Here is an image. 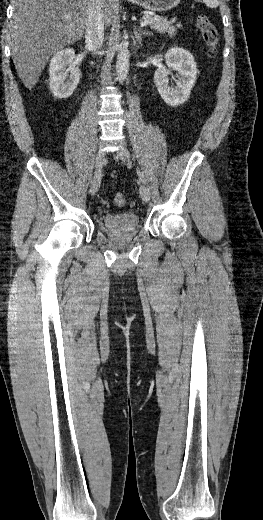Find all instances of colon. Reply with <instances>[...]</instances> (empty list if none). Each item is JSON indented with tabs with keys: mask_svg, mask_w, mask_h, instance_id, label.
<instances>
[{
	"mask_svg": "<svg viewBox=\"0 0 263 520\" xmlns=\"http://www.w3.org/2000/svg\"><path fill=\"white\" fill-rule=\"evenodd\" d=\"M195 24L207 48L208 56L212 58L215 57L218 53L220 40L217 27L206 15L202 14L196 16ZM114 200L115 204L119 207L124 206L126 203V197L122 192L117 193Z\"/></svg>",
	"mask_w": 263,
	"mask_h": 520,
	"instance_id": "colon-1",
	"label": "colon"
}]
</instances>
